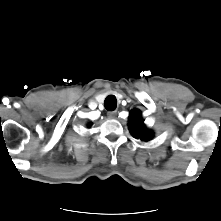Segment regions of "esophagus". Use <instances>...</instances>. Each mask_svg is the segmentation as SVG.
<instances>
[{"label":"esophagus","instance_id":"obj_1","mask_svg":"<svg viewBox=\"0 0 221 221\" xmlns=\"http://www.w3.org/2000/svg\"><path fill=\"white\" fill-rule=\"evenodd\" d=\"M117 116V111H111V112H108V117L110 119H113Z\"/></svg>","mask_w":221,"mask_h":221}]
</instances>
